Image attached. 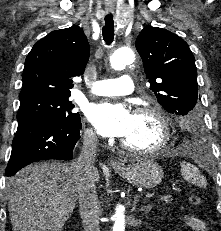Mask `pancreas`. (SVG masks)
Masks as SVG:
<instances>
[{"label": "pancreas", "instance_id": "pancreas-1", "mask_svg": "<svg viewBox=\"0 0 221 231\" xmlns=\"http://www.w3.org/2000/svg\"><path fill=\"white\" fill-rule=\"evenodd\" d=\"M159 200L166 203V204H169V203H171L172 198L170 195H164V196H161Z\"/></svg>", "mask_w": 221, "mask_h": 231}]
</instances>
